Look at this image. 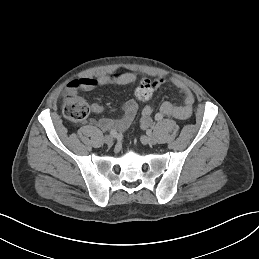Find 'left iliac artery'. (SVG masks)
I'll list each match as a JSON object with an SVG mask.
<instances>
[{"label":"left iliac artery","mask_w":259,"mask_h":259,"mask_svg":"<svg viewBox=\"0 0 259 259\" xmlns=\"http://www.w3.org/2000/svg\"><path fill=\"white\" fill-rule=\"evenodd\" d=\"M163 117L164 115L162 113H157L154 118L156 121H161Z\"/></svg>","instance_id":"obj_1"}]
</instances>
